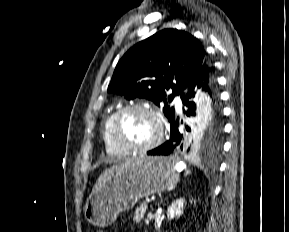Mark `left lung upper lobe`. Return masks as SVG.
<instances>
[{
  "instance_id": "left-lung-upper-lobe-1",
  "label": "left lung upper lobe",
  "mask_w": 289,
  "mask_h": 232,
  "mask_svg": "<svg viewBox=\"0 0 289 232\" xmlns=\"http://www.w3.org/2000/svg\"><path fill=\"white\" fill-rule=\"evenodd\" d=\"M205 60V50L191 34L177 29H164L130 48L118 62L108 92L127 99L152 100L171 122L175 110L168 106L180 95ZM173 93L167 98L166 90ZM222 121L211 118L195 124L185 134L186 148L215 153L221 147Z\"/></svg>"
}]
</instances>
